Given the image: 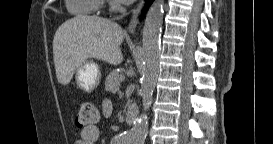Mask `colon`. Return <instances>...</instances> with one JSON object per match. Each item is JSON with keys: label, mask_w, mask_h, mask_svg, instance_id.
<instances>
[{"label": "colon", "mask_w": 273, "mask_h": 144, "mask_svg": "<svg viewBox=\"0 0 273 144\" xmlns=\"http://www.w3.org/2000/svg\"><path fill=\"white\" fill-rule=\"evenodd\" d=\"M98 120V110L91 101H84L80 104L75 123L80 129L94 125Z\"/></svg>", "instance_id": "1"}]
</instances>
